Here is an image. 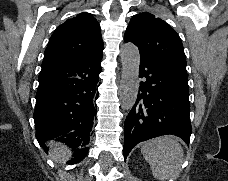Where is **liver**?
Segmentation results:
<instances>
[{
    "mask_svg": "<svg viewBox=\"0 0 228 181\" xmlns=\"http://www.w3.org/2000/svg\"><path fill=\"white\" fill-rule=\"evenodd\" d=\"M47 145L48 147H52V159H55V161H66L67 155H69V149H67L66 145H62V143L54 145L53 141H48Z\"/></svg>",
    "mask_w": 228,
    "mask_h": 181,
    "instance_id": "obj_1",
    "label": "liver"
}]
</instances>
